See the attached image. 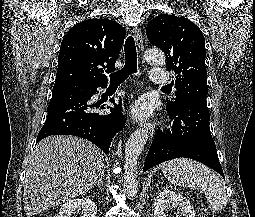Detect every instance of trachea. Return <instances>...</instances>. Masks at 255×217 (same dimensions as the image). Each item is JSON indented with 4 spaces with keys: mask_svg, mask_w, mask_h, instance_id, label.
Wrapping results in <instances>:
<instances>
[{
    "mask_svg": "<svg viewBox=\"0 0 255 217\" xmlns=\"http://www.w3.org/2000/svg\"><path fill=\"white\" fill-rule=\"evenodd\" d=\"M124 51H125V65L122 69L110 74L111 85H119L123 83L131 74L137 73V52L135 41L132 36H129L126 39Z\"/></svg>",
    "mask_w": 255,
    "mask_h": 217,
    "instance_id": "1",
    "label": "trachea"
}]
</instances>
